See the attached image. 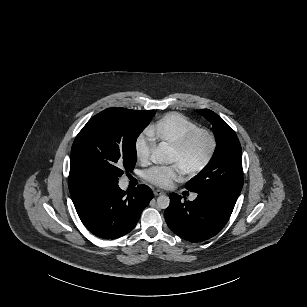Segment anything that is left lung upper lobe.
<instances>
[{"mask_svg": "<svg viewBox=\"0 0 307 307\" xmlns=\"http://www.w3.org/2000/svg\"><path fill=\"white\" fill-rule=\"evenodd\" d=\"M213 125L216 149L204 169L186 183L192 192L236 202L243 186L242 151L235 132L216 113L202 109Z\"/></svg>", "mask_w": 307, "mask_h": 307, "instance_id": "1", "label": "left lung upper lobe"}]
</instances>
